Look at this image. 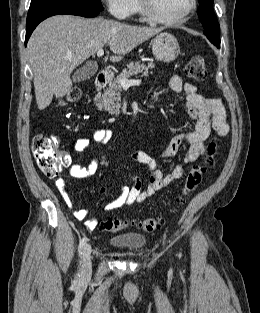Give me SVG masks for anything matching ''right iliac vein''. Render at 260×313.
<instances>
[{
    "instance_id": "63e3f726",
    "label": "right iliac vein",
    "mask_w": 260,
    "mask_h": 313,
    "mask_svg": "<svg viewBox=\"0 0 260 313\" xmlns=\"http://www.w3.org/2000/svg\"><path fill=\"white\" fill-rule=\"evenodd\" d=\"M91 272H92L91 245L86 244L82 252V268H81L82 279L90 278Z\"/></svg>"
}]
</instances>
